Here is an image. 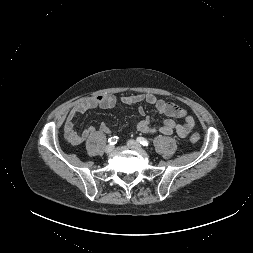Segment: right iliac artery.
I'll return each instance as SVG.
<instances>
[{
    "label": "right iliac artery",
    "instance_id": "right-iliac-artery-1",
    "mask_svg": "<svg viewBox=\"0 0 253 253\" xmlns=\"http://www.w3.org/2000/svg\"><path fill=\"white\" fill-rule=\"evenodd\" d=\"M117 141H118V137L117 136H114V137H111V138L108 139V142H109L110 145L116 144Z\"/></svg>",
    "mask_w": 253,
    "mask_h": 253
}]
</instances>
